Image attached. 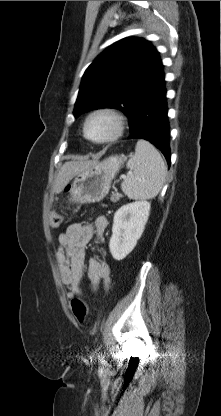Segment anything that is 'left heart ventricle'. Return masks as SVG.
<instances>
[{
	"label": "left heart ventricle",
	"mask_w": 221,
	"mask_h": 416,
	"mask_svg": "<svg viewBox=\"0 0 221 416\" xmlns=\"http://www.w3.org/2000/svg\"><path fill=\"white\" fill-rule=\"evenodd\" d=\"M113 129V122L105 116H99L91 120L88 125V133L93 138H103Z\"/></svg>",
	"instance_id": "1"
}]
</instances>
